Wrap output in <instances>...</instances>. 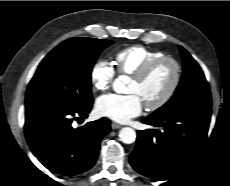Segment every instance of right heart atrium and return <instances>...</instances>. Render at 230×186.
<instances>
[{
    "label": "right heart atrium",
    "mask_w": 230,
    "mask_h": 186,
    "mask_svg": "<svg viewBox=\"0 0 230 186\" xmlns=\"http://www.w3.org/2000/svg\"><path fill=\"white\" fill-rule=\"evenodd\" d=\"M115 77V70L110 62L100 59L94 63L90 71V80L96 91L107 90Z\"/></svg>",
    "instance_id": "obj_1"
}]
</instances>
